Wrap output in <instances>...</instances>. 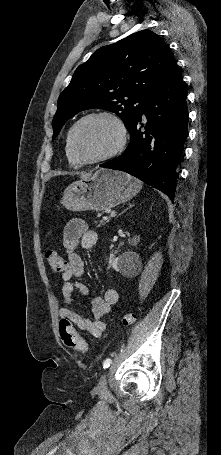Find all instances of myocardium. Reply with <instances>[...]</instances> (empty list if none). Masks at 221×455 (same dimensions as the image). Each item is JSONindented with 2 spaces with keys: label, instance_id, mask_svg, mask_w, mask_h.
I'll return each instance as SVG.
<instances>
[{
  "label": "myocardium",
  "instance_id": "1",
  "mask_svg": "<svg viewBox=\"0 0 221 455\" xmlns=\"http://www.w3.org/2000/svg\"><path fill=\"white\" fill-rule=\"evenodd\" d=\"M91 119H105L110 121L117 130V135H118V141L117 144L115 145L114 148H112L109 152L105 153L104 155H101L99 157L95 158H84L81 156L76 148V133L80 125L88 120ZM127 139H128V134H127V128L125 126V123L123 120L116 115L115 113H112L110 111H95L88 113L81 118H79L72 126L70 130V135H69V146L70 150L73 154V156L83 164H95V163H100L103 161H106L110 158H113L114 156L118 155L123 151L127 144Z\"/></svg>",
  "mask_w": 221,
  "mask_h": 455
}]
</instances>
